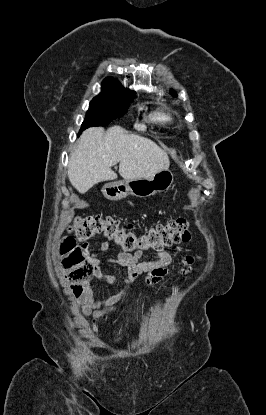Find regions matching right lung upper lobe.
I'll return each mask as SVG.
<instances>
[{"label":"right lung upper lobe","instance_id":"obj_1","mask_svg":"<svg viewBox=\"0 0 266 415\" xmlns=\"http://www.w3.org/2000/svg\"><path fill=\"white\" fill-rule=\"evenodd\" d=\"M116 96H135L132 90H125L121 83L111 77H107L102 82V92L95 98H110Z\"/></svg>","mask_w":266,"mask_h":415}]
</instances>
